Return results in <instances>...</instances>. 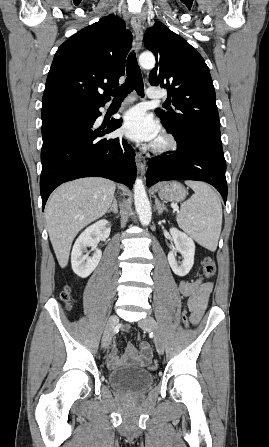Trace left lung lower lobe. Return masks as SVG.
Here are the masks:
<instances>
[{"mask_svg": "<svg viewBox=\"0 0 269 447\" xmlns=\"http://www.w3.org/2000/svg\"><path fill=\"white\" fill-rule=\"evenodd\" d=\"M173 136L177 141L176 151L149 159L147 186L167 180L204 181L220 192L226 204V162L221 138L205 133L194 134L188 138Z\"/></svg>", "mask_w": 269, "mask_h": 447, "instance_id": "0a47b994", "label": "left lung lower lobe"}]
</instances>
